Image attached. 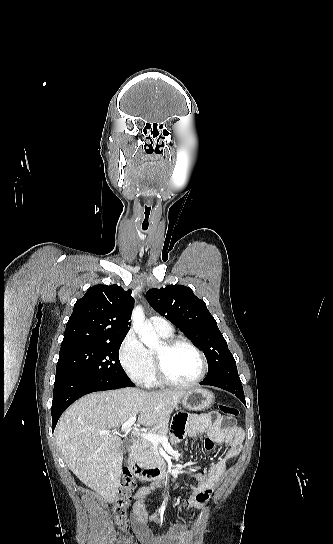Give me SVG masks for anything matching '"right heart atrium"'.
<instances>
[{"instance_id": "right-heart-atrium-1", "label": "right heart atrium", "mask_w": 333, "mask_h": 544, "mask_svg": "<svg viewBox=\"0 0 333 544\" xmlns=\"http://www.w3.org/2000/svg\"><path fill=\"white\" fill-rule=\"evenodd\" d=\"M118 357L128 377L137 384H145L152 362L149 351L132 330L122 340Z\"/></svg>"}]
</instances>
